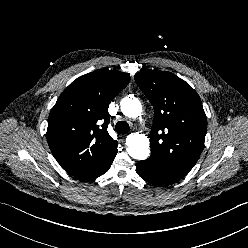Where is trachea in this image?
<instances>
[{"mask_svg": "<svg viewBox=\"0 0 248 248\" xmlns=\"http://www.w3.org/2000/svg\"><path fill=\"white\" fill-rule=\"evenodd\" d=\"M115 130L118 134H126L130 131V126L125 121H119L115 126Z\"/></svg>", "mask_w": 248, "mask_h": 248, "instance_id": "1", "label": "trachea"}]
</instances>
